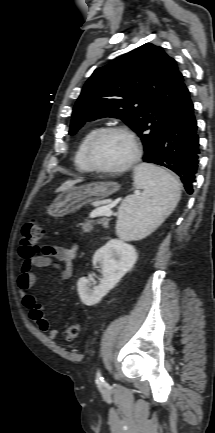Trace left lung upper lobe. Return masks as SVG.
Returning <instances> with one entry per match:
<instances>
[{
    "label": "left lung upper lobe",
    "mask_w": 215,
    "mask_h": 433,
    "mask_svg": "<svg viewBox=\"0 0 215 433\" xmlns=\"http://www.w3.org/2000/svg\"><path fill=\"white\" fill-rule=\"evenodd\" d=\"M182 85L175 60L161 47L144 44L94 71L74 107L69 134L86 121L120 118L140 137L144 159L151 158Z\"/></svg>",
    "instance_id": "left-lung-upper-lobe-1"
}]
</instances>
